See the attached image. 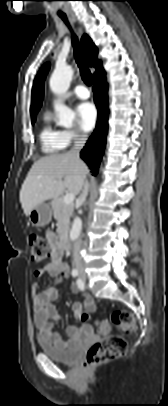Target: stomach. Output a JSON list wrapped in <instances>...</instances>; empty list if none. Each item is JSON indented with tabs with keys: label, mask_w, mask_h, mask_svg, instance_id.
<instances>
[{
	"label": "stomach",
	"mask_w": 168,
	"mask_h": 406,
	"mask_svg": "<svg viewBox=\"0 0 168 406\" xmlns=\"http://www.w3.org/2000/svg\"><path fill=\"white\" fill-rule=\"evenodd\" d=\"M52 218V208L49 204L37 205L29 213V221L33 226L41 227L47 225Z\"/></svg>",
	"instance_id": "stomach-1"
}]
</instances>
